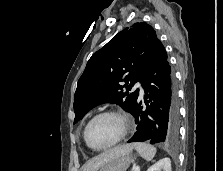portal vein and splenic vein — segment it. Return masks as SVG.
Instances as JSON below:
<instances>
[{
	"instance_id": "portal-vein-and-splenic-vein-1",
	"label": "portal vein and splenic vein",
	"mask_w": 223,
	"mask_h": 171,
	"mask_svg": "<svg viewBox=\"0 0 223 171\" xmlns=\"http://www.w3.org/2000/svg\"><path fill=\"white\" fill-rule=\"evenodd\" d=\"M133 171H140L139 166H136V165H135Z\"/></svg>"
}]
</instances>
